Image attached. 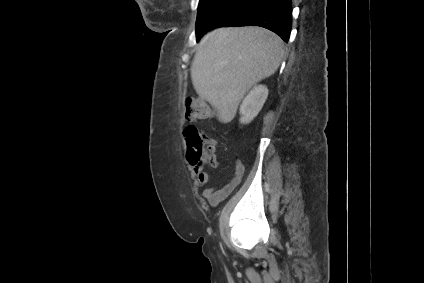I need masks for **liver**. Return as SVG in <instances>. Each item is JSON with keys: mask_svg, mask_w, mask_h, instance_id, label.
I'll use <instances>...</instances> for the list:
<instances>
[{"mask_svg": "<svg viewBox=\"0 0 424 283\" xmlns=\"http://www.w3.org/2000/svg\"><path fill=\"white\" fill-rule=\"evenodd\" d=\"M283 41L274 32L258 27H227L208 32L200 41L191 65L197 94L230 122L244 95L278 69Z\"/></svg>", "mask_w": 424, "mask_h": 283, "instance_id": "6515ba94", "label": "liver"}]
</instances>
